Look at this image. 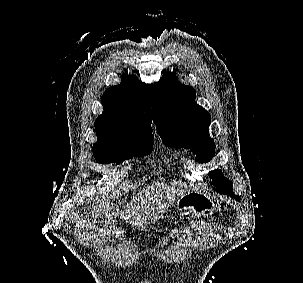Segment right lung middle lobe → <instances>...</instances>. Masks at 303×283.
<instances>
[{"label": "right lung middle lobe", "mask_w": 303, "mask_h": 283, "mask_svg": "<svg viewBox=\"0 0 303 283\" xmlns=\"http://www.w3.org/2000/svg\"><path fill=\"white\" fill-rule=\"evenodd\" d=\"M98 140L93 146L94 157L101 164H119L135 155L149 154L153 148L152 129L149 125L124 130L96 132Z\"/></svg>", "instance_id": "right-lung-middle-lobe-1"}]
</instances>
